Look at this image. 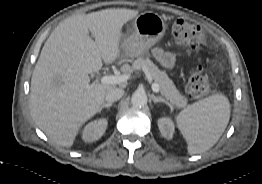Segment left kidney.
<instances>
[{"label":"left kidney","instance_id":"5707ae66","mask_svg":"<svg viewBox=\"0 0 262 184\" xmlns=\"http://www.w3.org/2000/svg\"><path fill=\"white\" fill-rule=\"evenodd\" d=\"M158 127L161 135L166 139H172L174 124L170 118L163 117L158 120Z\"/></svg>","mask_w":262,"mask_h":184}]
</instances>
